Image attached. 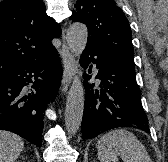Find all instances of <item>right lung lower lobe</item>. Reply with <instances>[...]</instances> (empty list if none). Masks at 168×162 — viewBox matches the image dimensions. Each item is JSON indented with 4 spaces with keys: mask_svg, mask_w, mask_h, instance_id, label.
I'll list each match as a JSON object with an SVG mask.
<instances>
[{
    "mask_svg": "<svg viewBox=\"0 0 168 162\" xmlns=\"http://www.w3.org/2000/svg\"><path fill=\"white\" fill-rule=\"evenodd\" d=\"M61 76L56 50L43 60L23 64L0 76V130L12 131L41 146L44 111L48 101L57 95ZM29 83L33 85L26 91Z\"/></svg>",
    "mask_w": 168,
    "mask_h": 162,
    "instance_id": "obj_1",
    "label": "right lung lower lobe"
}]
</instances>
